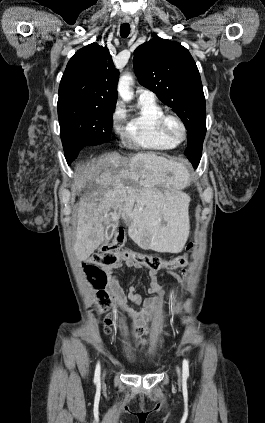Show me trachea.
<instances>
[{"label":"trachea","instance_id":"obj_1","mask_svg":"<svg viewBox=\"0 0 265 423\" xmlns=\"http://www.w3.org/2000/svg\"><path fill=\"white\" fill-rule=\"evenodd\" d=\"M130 34V25L128 23H124L120 27V35L122 38L128 37Z\"/></svg>","mask_w":265,"mask_h":423}]
</instances>
